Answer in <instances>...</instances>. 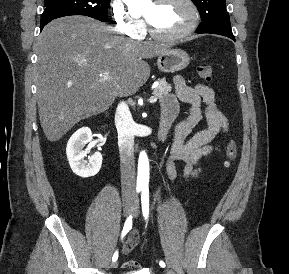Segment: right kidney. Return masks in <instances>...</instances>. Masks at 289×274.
<instances>
[{"label": "right kidney", "instance_id": "1", "mask_svg": "<svg viewBox=\"0 0 289 274\" xmlns=\"http://www.w3.org/2000/svg\"><path fill=\"white\" fill-rule=\"evenodd\" d=\"M92 141V132L88 127L78 129L69 139L66 154L72 171L83 178L96 175L102 165V155L96 152L85 160L88 149L83 150Z\"/></svg>", "mask_w": 289, "mask_h": 274}]
</instances>
